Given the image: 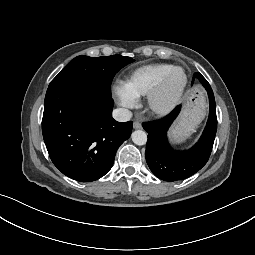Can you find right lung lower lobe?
I'll return each instance as SVG.
<instances>
[{
    "label": "right lung lower lobe",
    "instance_id": "98d812e1",
    "mask_svg": "<svg viewBox=\"0 0 255 255\" xmlns=\"http://www.w3.org/2000/svg\"><path fill=\"white\" fill-rule=\"evenodd\" d=\"M113 99L94 86L69 84L47 89L42 133L53 164L81 182L104 176L132 122L112 118Z\"/></svg>",
    "mask_w": 255,
    "mask_h": 255
}]
</instances>
